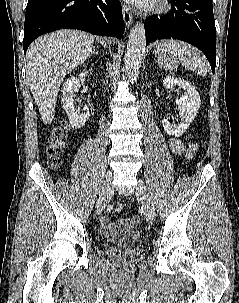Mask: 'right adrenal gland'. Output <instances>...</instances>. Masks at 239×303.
Wrapping results in <instances>:
<instances>
[{"mask_svg": "<svg viewBox=\"0 0 239 303\" xmlns=\"http://www.w3.org/2000/svg\"><path fill=\"white\" fill-rule=\"evenodd\" d=\"M97 54L98 53L95 51V46H93L92 51H91L89 57H91L92 55H96L97 56Z\"/></svg>", "mask_w": 239, "mask_h": 303, "instance_id": "1", "label": "right adrenal gland"}]
</instances>
